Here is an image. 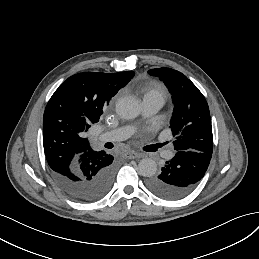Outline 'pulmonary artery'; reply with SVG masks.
Returning a JSON list of instances; mask_svg holds the SVG:
<instances>
[{
  "label": "pulmonary artery",
  "mask_w": 259,
  "mask_h": 259,
  "mask_svg": "<svg viewBox=\"0 0 259 259\" xmlns=\"http://www.w3.org/2000/svg\"><path fill=\"white\" fill-rule=\"evenodd\" d=\"M164 97H151L144 99L142 102V109L145 115H153L157 113L164 105ZM133 130L130 127H121L111 131H103L97 139L102 141H122L129 138ZM166 159L170 160L173 157V152L171 149H168L165 152Z\"/></svg>",
  "instance_id": "1"
}]
</instances>
